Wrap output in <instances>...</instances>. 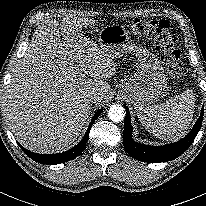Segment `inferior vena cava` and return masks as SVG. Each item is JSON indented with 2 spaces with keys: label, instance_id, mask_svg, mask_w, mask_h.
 <instances>
[{
  "label": "inferior vena cava",
  "instance_id": "obj_1",
  "mask_svg": "<svg viewBox=\"0 0 206 206\" xmlns=\"http://www.w3.org/2000/svg\"><path fill=\"white\" fill-rule=\"evenodd\" d=\"M88 97H89V100L91 102H96V101L100 100V96L96 93H91L88 95Z\"/></svg>",
  "mask_w": 206,
  "mask_h": 206
}]
</instances>
